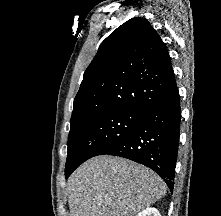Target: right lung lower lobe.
<instances>
[{
  "label": "right lung lower lobe",
  "instance_id": "obj_1",
  "mask_svg": "<svg viewBox=\"0 0 221 216\" xmlns=\"http://www.w3.org/2000/svg\"><path fill=\"white\" fill-rule=\"evenodd\" d=\"M181 120L180 96L176 82L142 110L136 128L103 154L124 157L154 170L173 191ZM78 166H71L69 174Z\"/></svg>",
  "mask_w": 221,
  "mask_h": 216
}]
</instances>
